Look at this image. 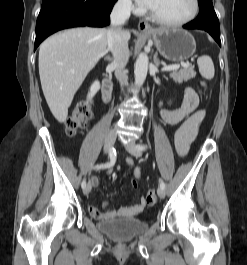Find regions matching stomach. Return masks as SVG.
<instances>
[{
  "label": "stomach",
  "instance_id": "0dacf381",
  "mask_svg": "<svg viewBox=\"0 0 247 265\" xmlns=\"http://www.w3.org/2000/svg\"><path fill=\"white\" fill-rule=\"evenodd\" d=\"M146 34L152 37L159 53L169 61H185L192 57L196 51L194 37L185 30L157 28Z\"/></svg>",
  "mask_w": 247,
  "mask_h": 265
}]
</instances>
